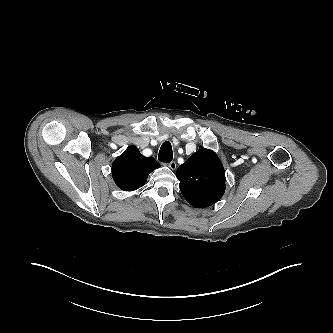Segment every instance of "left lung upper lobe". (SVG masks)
Masks as SVG:
<instances>
[{
    "instance_id": "obj_1",
    "label": "left lung upper lobe",
    "mask_w": 333,
    "mask_h": 333,
    "mask_svg": "<svg viewBox=\"0 0 333 333\" xmlns=\"http://www.w3.org/2000/svg\"><path fill=\"white\" fill-rule=\"evenodd\" d=\"M176 176L184 198L196 208L215 204L225 192V171L215 152L200 149L180 165Z\"/></svg>"
}]
</instances>
